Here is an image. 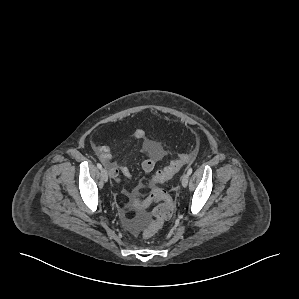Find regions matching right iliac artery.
<instances>
[{"instance_id":"82829eb1","label":"right iliac artery","mask_w":299,"mask_h":299,"mask_svg":"<svg viewBox=\"0 0 299 299\" xmlns=\"http://www.w3.org/2000/svg\"><path fill=\"white\" fill-rule=\"evenodd\" d=\"M97 167H98L99 169H102V165H101L100 163H97Z\"/></svg>"}]
</instances>
